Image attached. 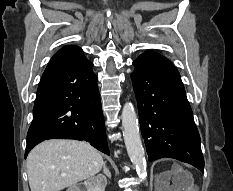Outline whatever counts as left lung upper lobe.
<instances>
[{
	"label": "left lung upper lobe",
	"instance_id": "obj_1",
	"mask_svg": "<svg viewBox=\"0 0 233 191\" xmlns=\"http://www.w3.org/2000/svg\"><path fill=\"white\" fill-rule=\"evenodd\" d=\"M143 54H159V53L154 52V51L147 50V51L144 52Z\"/></svg>",
	"mask_w": 233,
	"mask_h": 191
}]
</instances>
